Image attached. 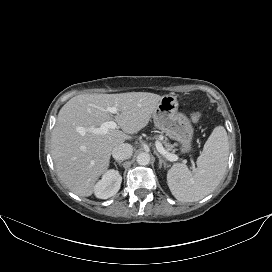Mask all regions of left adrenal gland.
Returning a JSON list of instances; mask_svg holds the SVG:
<instances>
[{"mask_svg": "<svg viewBox=\"0 0 272 272\" xmlns=\"http://www.w3.org/2000/svg\"><path fill=\"white\" fill-rule=\"evenodd\" d=\"M156 156L158 157V160H159V168H162V165L164 167L167 166L165 160L160 156V154L158 152H155Z\"/></svg>", "mask_w": 272, "mask_h": 272, "instance_id": "a2214340", "label": "left adrenal gland"}]
</instances>
